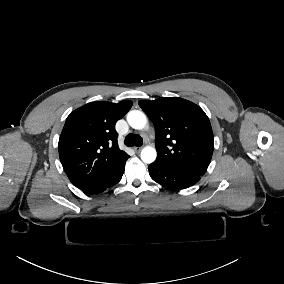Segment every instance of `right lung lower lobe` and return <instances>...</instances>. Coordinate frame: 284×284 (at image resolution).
I'll return each instance as SVG.
<instances>
[{
	"instance_id": "right-lung-lower-lobe-1",
	"label": "right lung lower lobe",
	"mask_w": 284,
	"mask_h": 284,
	"mask_svg": "<svg viewBox=\"0 0 284 284\" xmlns=\"http://www.w3.org/2000/svg\"><path fill=\"white\" fill-rule=\"evenodd\" d=\"M125 162L113 174H111L104 182L99 184L97 187L91 189L87 193H89V194L100 193V192H103L106 189L114 186L115 184H117L121 180L122 175L124 173Z\"/></svg>"
}]
</instances>
